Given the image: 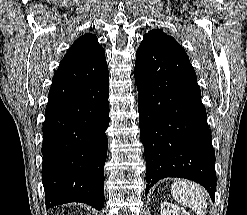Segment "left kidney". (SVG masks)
Here are the masks:
<instances>
[{"instance_id":"5707ae66","label":"left kidney","mask_w":247,"mask_h":215,"mask_svg":"<svg viewBox=\"0 0 247 215\" xmlns=\"http://www.w3.org/2000/svg\"><path fill=\"white\" fill-rule=\"evenodd\" d=\"M161 215H190L184 208L170 202H162L160 207Z\"/></svg>"}]
</instances>
